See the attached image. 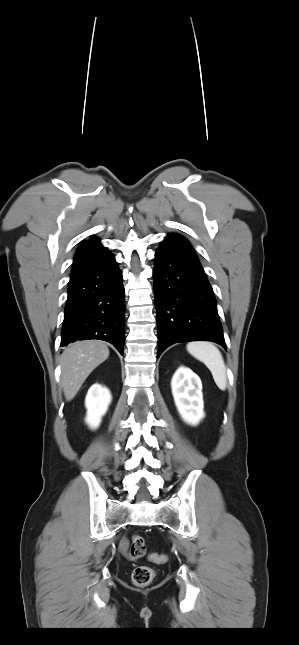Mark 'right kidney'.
Listing matches in <instances>:
<instances>
[{"label": "right kidney", "instance_id": "right-kidney-1", "mask_svg": "<svg viewBox=\"0 0 299 645\" xmlns=\"http://www.w3.org/2000/svg\"><path fill=\"white\" fill-rule=\"evenodd\" d=\"M110 391L100 384H94L88 390L85 398V406L87 408L86 423L92 429H96L100 423L102 416L105 415L108 406L111 402Z\"/></svg>", "mask_w": 299, "mask_h": 645}]
</instances>
